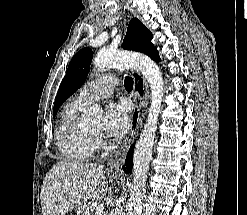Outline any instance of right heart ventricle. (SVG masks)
Returning a JSON list of instances; mask_svg holds the SVG:
<instances>
[{"mask_svg":"<svg viewBox=\"0 0 247 215\" xmlns=\"http://www.w3.org/2000/svg\"><path fill=\"white\" fill-rule=\"evenodd\" d=\"M85 106L73 100L64 107L56 131V144L62 157L69 162H86L97 149L94 136L79 126V116Z\"/></svg>","mask_w":247,"mask_h":215,"instance_id":"obj_1","label":"right heart ventricle"}]
</instances>
